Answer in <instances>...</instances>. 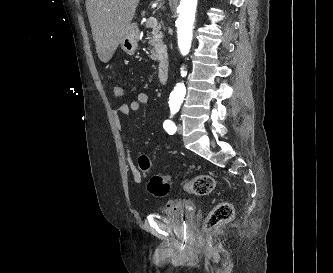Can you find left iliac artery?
<instances>
[{
    "mask_svg": "<svg viewBox=\"0 0 333 273\" xmlns=\"http://www.w3.org/2000/svg\"><path fill=\"white\" fill-rule=\"evenodd\" d=\"M175 113H176L175 110H171L170 118H172ZM163 127L166 130V132L170 135L174 134L177 129L175 123L172 120H165L163 123Z\"/></svg>",
    "mask_w": 333,
    "mask_h": 273,
    "instance_id": "44dca946",
    "label": "left iliac artery"
}]
</instances>
